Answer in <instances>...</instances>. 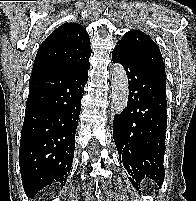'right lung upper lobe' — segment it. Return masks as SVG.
<instances>
[{"label":"right lung upper lobe","mask_w":196,"mask_h":201,"mask_svg":"<svg viewBox=\"0 0 196 201\" xmlns=\"http://www.w3.org/2000/svg\"><path fill=\"white\" fill-rule=\"evenodd\" d=\"M90 56V39L86 29L77 23L63 24L40 45L32 76L82 68L89 64Z\"/></svg>","instance_id":"obj_1"}]
</instances>
